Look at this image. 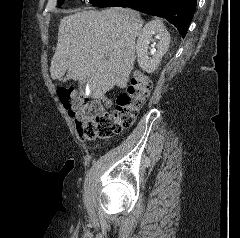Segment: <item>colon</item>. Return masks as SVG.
Wrapping results in <instances>:
<instances>
[{
	"label": "colon",
	"mask_w": 240,
	"mask_h": 238,
	"mask_svg": "<svg viewBox=\"0 0 240 238\" xmlns=\"http://www.w3.org/2000/svg\"><path fill=\"white\" fill-rule=\"evenodd\" d=\"M151 82L140 71L133 74L127 88L119 95L112 112L104 109L106 101L90 102L73 87H60L57 95L75 120L76 130L82 139L110 138L131 126L148 97Z\"/></svg>",
	"instance_id": "colon-1"
}]
</instances>
